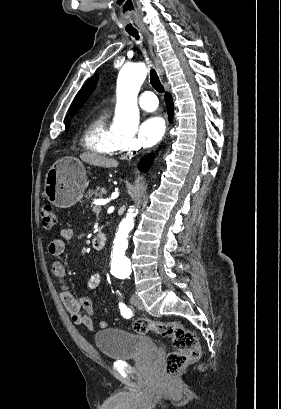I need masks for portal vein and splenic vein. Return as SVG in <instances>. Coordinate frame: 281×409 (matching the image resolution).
<instances>
[{
  "label": "portal vein and splenic vein",
  "mask_w": 281,
  "mask_h": 409,
  "mask_svg": "<svg viewBox=\"0 0 281 409\" xmlns=\"http://www.w3.org/2000/svg\"><path fill=\"white\" fill-rule=\"evenodd\" d=\"M101 209H100V207H99V205L98 204H95L93 207H92V212L94 213V216L95 217H100L101 216V211H100Z\"/></svg>",
  "instance_id": "obj_1"
}]
</instances>
